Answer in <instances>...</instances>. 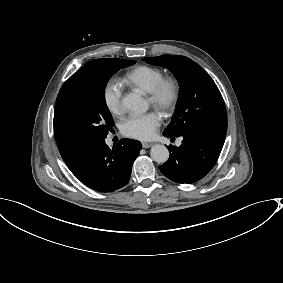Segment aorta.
Returning <instances> with one entry per match:
<instances>
[{"label":"aorta","instance_id":"762f6f07","mask_svg":"<svg viewBox=\"0 0 283 283\" xmlns=\"http://www.w3.org/2000/svg\"><path fill=\"white\" fill-rule=\"evenodd\" d=\"M122 104L130 111L138 114L144 113L148 109L146 101L140 95L135 93L126 95L122 100ZM150 155L155 162L164 163L169 158V151L166 146L156 144L151 148Z\"/></svg>","mask_w":283,"mask_h":283}]
</instances>
